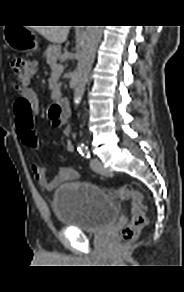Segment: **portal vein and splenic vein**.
Segmentation results:
<instances>
[{
  "label": "portal vein and splenic vein",
  "mask_w": 184,
  "mask_h": 292,
  "mask_svg": "<svg viewBox=\"0 0 184 292\" xmlns=\"http://www.w3.org/2000/svg\"><path fill=\"white\" fill-rule=\"evenodd\" d=\"M54 70L61 73L63 71V66L57 65Z\"/></svg>",
  "instance_id": "obj_1"
}]
</instances>
